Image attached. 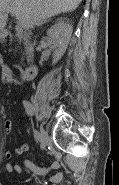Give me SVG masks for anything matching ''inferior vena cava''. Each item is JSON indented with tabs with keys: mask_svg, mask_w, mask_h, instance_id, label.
I'll use <instances>...</instances> for the list:
<instances>
[{
	"mask_svg": "<svg viewBox=\"0 0 119 185\" xmlns=\"http://www.w3.org/2000/svg\"><path fill=\"white\" fill-rule=\"evenodd\" d=\"M30 28H33V25L32 24L30 25Z\"/></svg>",
	"mask_w": 119,
	"mask_h": 185,
	"instance_id": "obj_1",
	"label": "inferior vena cava"
}]
</instances>
